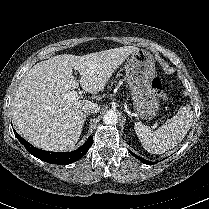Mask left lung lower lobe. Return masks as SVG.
<instances>
[{"mask_svg":"<svg viewBox=\"0 0 209 209\" xmlns=\"http://www.w3.org/2000/svg\"><path fill=\"white\" fill-rule=\"evenodd\" d=\"M134 157H136L137 159H139L142 163L144 164H148V165H153V164H156L157 162H151V161H148V160H145L139 156H137L136 154L130 152Z\"/></svg>","mask_w":209,"mask_h":209,"instance_id":"obj_1","label":"left lung lower lobe"}]
</instances>
